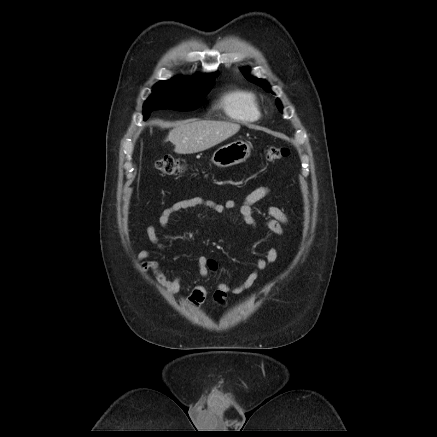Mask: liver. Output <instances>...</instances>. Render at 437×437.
Here are the masks:
<instances>
[{
	"label": "liver",
	"instance_id": "liver-1",
	"mask_svg": "<svg viewBox=\"0 0 437 437\" xmlns=\"http://www.w3.org/2000/svg\"><path fill=\"white\" fill-rule=\"evenodd\" d=\"M239 130L240 125L233 122L185 120L175 124L166 141L175 145L178 154H193L223 142Z\"/></svg>",
	"mask_w": 437,
	"mask_h": 437
}]
</instances>
